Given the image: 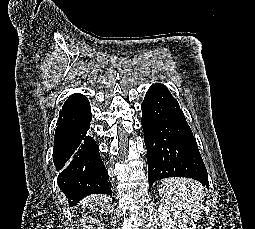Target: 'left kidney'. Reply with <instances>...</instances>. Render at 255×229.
<instances>
[{"instance_id":"obj_1","label":"left kidney","mask_w":255,"mask_h":229,"mask_svg":"<svg viewBox=\"0 0 255 229\" xmlns=\"http://www.w3.org/2000/svg\"><path fill=\"white\" fill-rule=\"evenodd\" d=\"M158 214L162 229H196L188 216L166 203L160 204Z\"/></svg>"}]
</instances>
